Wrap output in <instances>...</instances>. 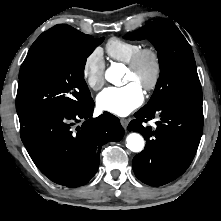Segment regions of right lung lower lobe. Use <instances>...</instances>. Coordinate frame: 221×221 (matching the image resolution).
<instances>
[{
	"label": "right lung lower lobe",
	"instance_id": "obj_1",
	"mask_svg": "<svg viewBox=\"0 0 221 221\" xmlns=\"http://www.w3.org/2000/svg\"><path fill=\"white\" fill-rule=\"evenodd\" d=\"M93 108L91 99L78 110L37 115L20 123L30 157L53 182L67 187L85 185L98 170L102 146L122 139L119 119L108 112L92 118Z\"/></svg>",
	"mask_w": 221,
	"mask_h": 221
}]
</instances>
